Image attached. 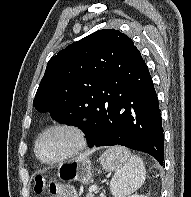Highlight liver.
<instances>
[{"mask_svg":"<svg viewBox=\"0 0 191 197\" xmlns=\"http://www.w3.org/2000/svg\"><path fill=\"white\" fill-rule=\"evenodd\" d=\"M82 157H87V154H85V155H82Z\"/></svg>","mask_w":191,"mask_h":197,"instance_id":"6515ba94","label":"liver"}]
</instances>
